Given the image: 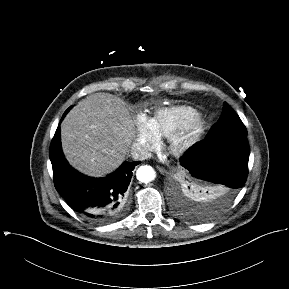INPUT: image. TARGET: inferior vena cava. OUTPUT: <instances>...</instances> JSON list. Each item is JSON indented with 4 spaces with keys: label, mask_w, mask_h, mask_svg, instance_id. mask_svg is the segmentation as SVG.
Returning a JSON list of instances; mask_svg holds the SVG:
<instances>
[{
    "label": "inferior vena cava",
    "mask_w": 289,
    "mask_h": 289,
    "mask_svg": "<svg viewBox=\"0 0 289 289\" xmlns=\"http://www.w3.org/2000/svg\"><path fill=\"white\" fill-rule=\"evenodd\" d=\"M130 156L134 160L143 161V160L149 158L150 153L146 149H144V148H142L140 146L134 145V146L131 147Z\"/></svg>",
    "instance_id": "obj_1"
}]
</instances>
